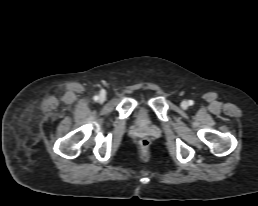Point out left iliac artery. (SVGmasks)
I'll return each mask as SVG.
<instances>
[{"label":"left iliac artery","instance_id":"44dca946","mask_svg":"<svg viewBox=\"0 0 258 206\" xmlns=\"http://www.w3.org/2000/svg\"><path fill=\"white\" fill-rule=\"evenodd\" d=\"M194 102L192 100L189 101V105H193Z\"/></svg>","mask_w":258,"mask_h":206}]
</instances>
